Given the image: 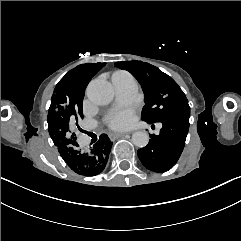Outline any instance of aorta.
Returning <instances> with one entry per match:
<instances>
[{"label":"aorta","instance_id":"1","mask_svg":"<svg viewBox=\"0 0 241 241\" xmlns=\"http://www.w3.org/2000/svg\"><path fill=\"white\" fill-rule=\"evenodd\" d=\"M88 99L97 105H107L114 97L112 85L103 79L92 80L87 87ZM149 134L146 131H136L132 135V142L139 148L149 143Z\"/></svg>","mask_w":241,"mask_h":241}]
</instances>
